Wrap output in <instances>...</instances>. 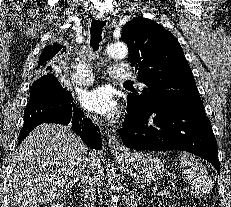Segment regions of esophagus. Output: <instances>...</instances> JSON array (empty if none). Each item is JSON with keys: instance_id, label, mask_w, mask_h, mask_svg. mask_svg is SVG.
I'll use <instances>...</instances> for the list:
<instances>
[{"instance_id": "obj_1", "label": "esophagus", "mask_w": 231, "mask_h": 207, "mask_svg": "<svg viewBox=\"0 0 231 207\" xmlns=\"http://www.w3.org/2000/svg\"><path fill=\"white\" fill-rule=\"evenodd\" d=\"M97 18L100 20H109V16L107 14H98ZM108 147L111 153L114 154L123 153L125 151V146L121 144L117 136L113 133L108 135Z\"/></svg>"}]
</instances>
